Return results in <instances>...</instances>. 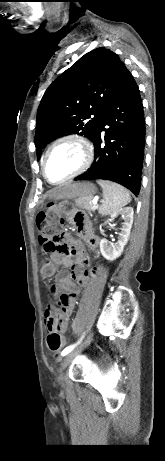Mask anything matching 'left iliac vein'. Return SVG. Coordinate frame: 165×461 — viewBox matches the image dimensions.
<instances>
[{
  "label": "left iliac vein",
  "instance_id": "1",
  "mask_svg": "<svg viewBox=\"0 0 165 461\" xmlns=\"http://www.w3.org/2000/svg\"><path fill=\"white\" fill-rule=\"evenodd\" d=\"M92 340V333L89 334L87 337L86 341L83 343V345L78 348L77 350H74L67 354L64 359L61 362V368H60V375H59V382L63 385L64 384V376H63V370L71 363V361L78 355V353L86 346L90 344Z\"/></svg>",
  "mask_w": 165,
  "mask_h": 461
}]
</instances>
